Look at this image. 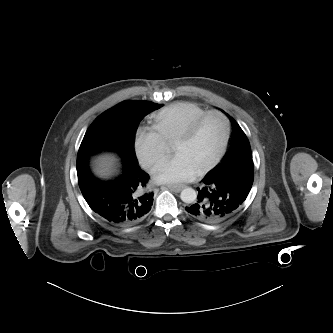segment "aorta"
I'll use <instances>...</instances> for the list:
<instances>
[{
    "mask_svg": "<svg viewBox=\"0 0 333 333\" xmlns=\"http://www.w3.org/2000/svg\"><path fill=\"white\" fill-rule=\"evenodd\" d=\"M180 198L183 202L190 204L195 202L197 194L193 188H186L181 192Z\"/></svg>",
    "mask_w": 333,
    "mask_h": 333,
    "instance_id": "obj_1",
    "label": "aorta"
}]
</instances>
